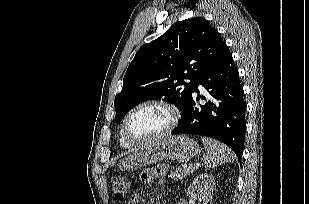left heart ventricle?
I'll return each mask as SVG.
<instances>
[{
  "instance_id": "left-heart-ventricle-1",
  "label": "left heart ventricle",
  "mask_w": 309,
  "mask_h": 204,
  "mask_svg": "<svg viewBox=\"0 0 309 204\" xmlns=\"http://www.w3.org/2000/svg\"><path fill=\"white\" fill-rule=\"evenodd\" d=\"M169 122V113L159 106H147L136 111L127 124L133 139H144L161 132Z\"/></svg>"
}]
</instances>
